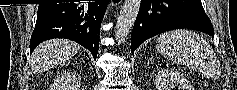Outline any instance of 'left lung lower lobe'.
I'll use <instances>...</instances> for the list:
<instances>
[{"label": "left lung lower lobe", "mask_w": 237, "mask_h": 90, "mask_svg": "<svg viewBox=\"0 0 237 90\" xmlns=\"http://www.w3.org/2000/svg\"><path fill=\"white\" fill-rule=\"evenodd\" d=\"M184 28L214 36L201 0H142L131 34V52L157 34Z\"/></svg>", "instance_id": "0a47b994"}]
</instances>
